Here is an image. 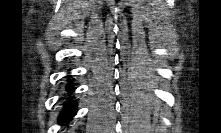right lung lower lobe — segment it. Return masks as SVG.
I'll return each mask as SVG.
<instances>
[{
    "instance_id": "right-lung-lower-lobe-1",
    "label": "right lung lower lobe",
    "mask_w": 221,
    "mask_h": 133,
    "mask_svg": "<svg viewBox=\"0 0 221 133\" xmlns=\"http://www.w3.org/2000/svg\"><path fill=\"white\" fill-rule=\"evenodd\" d=\"M67 89L69 92H71L73 90V87L68 86ZM76 106H77V103L73 102L72 100L68 101L65 104L62 112L59 115V120L61 124L67 123L76 114V111H77Z\"/></svg>"
}]
</instances>
